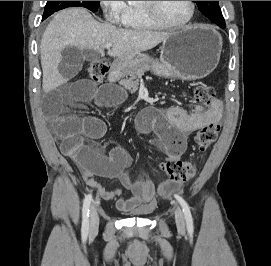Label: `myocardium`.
Returning a JSON list of instances; mask_svg holds the SVG:
<instances>
[{
	"label": "myocardium",
	"instance_id": "f54148a6",
	"mask_svg": "<svg viewBox=\"0 0 271 266\" xmlns=\"http://www.w3.org/2000/svg\"><path fill=\"white\" fill-rule=\"evenodd\" d=\"M188 3L190 5L189 17L181 23H172L164 19L157 11L155 1H143L141 8L144 13L157 25L165 28L180 29L190 25L195 16L196 5L194 1H188Z\"/></svg>",
	"mask_w": 271,
	"mask_h": 266
}]
</instances>
